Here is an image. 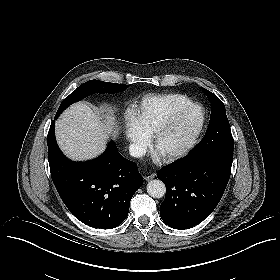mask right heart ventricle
Instances as JSON below:
<instances>
[{
    "mask_svg": "<svg viewBox=\"0 0 280 280\" xmlns=\"http://www.w3.org/2000/svg\"><path fill=\"white\" fill-rule=\"evenodd\" d=\"M189 102L188 97L184 95H170L163 100V106L167 110H178Z\"/></svg>",
    "mask_w": 280,
    "mask_h": 280,
    "instance_id": "obj_1",
    "label": "right heart ventricle"
}]
</instances>
